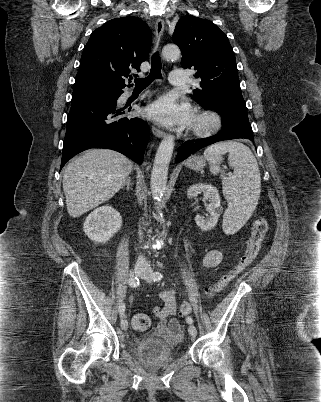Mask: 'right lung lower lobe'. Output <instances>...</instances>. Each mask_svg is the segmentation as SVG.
Listing matches in <instances>:
<instances>
[{
    "instance_id": "obj_1",
    "label": "right lung lower lobe",
    "mask_w": 321,
    "mask_h": 402,
    "mask_svg": "<svg viewBox=\"0 0 321 402\" xmlns=\"http://www.w3.org/2000/svg\"><path fill=\"white\" fill-rule=\"evenodd\" d=\"M120 90L111 101L81 99L71 102L61 168L74 155L90 148L112 149L138 164L142 163L149 127L147 122L139 118L122 116L125 113L123 108L119 109L116 105L123 93Z\"/></svg>"
}]
</instances>
